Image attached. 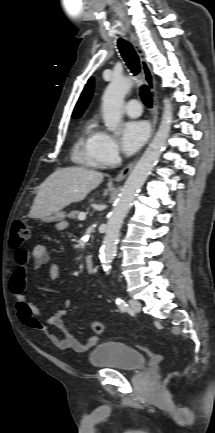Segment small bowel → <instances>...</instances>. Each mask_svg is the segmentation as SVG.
<instances>
[{
	"label": "small bowel",
	"instance_id": "obj_1",
	"mask_svg": "<svg viewBox=\"0 0 215 433\" xmlns=\"http://www.w3.org/2000/svg\"><path fill=\"white\" fill-rule=\"evenodd\" d=\"M65 227V226H64ZM33 259L35 268H40L49 264L50 256L43 244H37L31 252L25 249H17L14 252L16 269L13 271L9 280V290L15 299V308L20 322L28 328L39 330L45 333L50 342L60 350H73L78 353H85L98 342L97 336H91L86 341L80 342L77 337L67 328L64 322L65 310H58L46 316L37 309L26 297L25 289L28 277V263ZM61 268L57 264H52L48 271L50 280H57L60 277ZM70 303L67 302L66 306ZM58 328L63 336L52 333L48 327Z\"/></svg>",
	"mask_w": 215,
	"mask_h": 433
}]
</instances>
